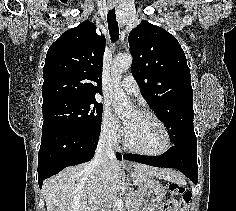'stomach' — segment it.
Segmentation results:
<instances>
[{"label":"stomach","instance_id":"0dacf381","mask_svg":"<svg viewBox=\"0 0 236 211\" xmlns=\"http://www.w3.org/2000/svg\"><path fill=\"white\" fill-rule=\"evenodd\" d=\"M137 196L142 211H156L165 196V189L159 182L149 178L139 185Z\"/></svg>","mask_w":236,"mask_h":211}]
</instances>
